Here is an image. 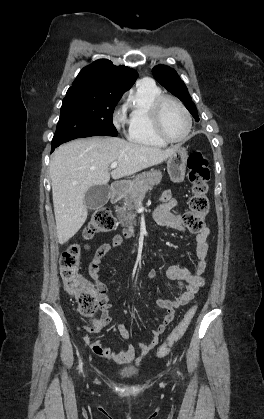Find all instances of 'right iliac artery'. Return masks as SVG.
<instances>
[{"label": "right iliac artery", "mask_w": 264, "mask_h": 419, "mask_svg": "<svg viewBox=\"0 0 264 419\" xmlns=\"http://www.w3.org/2000/svg\"><path fill=\"white\" fill-rule=\"evenodd\" d=\"M79 370L82 371V361L79 363Z\"/></svg>", "instance_id": "right-iliac-artery-1"}]
</instances>
